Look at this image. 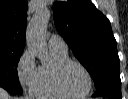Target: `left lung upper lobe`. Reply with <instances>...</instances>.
Wrapping results in <instances>:
<instances>
[{
	"label": "left lung upper lobe",
	"mask_w": 128,
	"mask_h": 99,
	"mask_svg": "<svg viewBox=\"0 0 128 99\" xmlns=\"http://www.w3.org/2000/svg\"><path fill=\"white\" fill-rule=\"evenodd\" d=\"M54 23L96 87L120 77V60L110 21L88 0L55 2Z\"/></svg>",
	"instance_id": "obj_1"
}]
</instances>
